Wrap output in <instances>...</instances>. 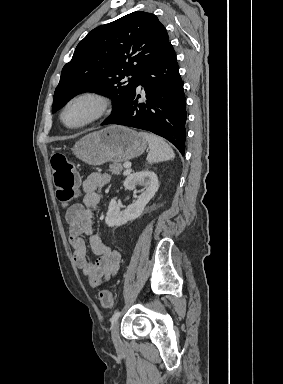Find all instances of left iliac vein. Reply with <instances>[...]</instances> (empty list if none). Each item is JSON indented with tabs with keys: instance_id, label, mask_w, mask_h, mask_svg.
Wrapping results in <instances>:
<instances>
[{
	"instance_id": "1",
	"label": "left iliac vein",
	"mask_w": 283,
	"mask_h": 384,
	"mask_svg": "<svg viewBox=\"0 0 283 384\" xmlns=\"http://www.w3.org/2000/svg\"><path fill=\"white\" fill-rule=\"evenodd\" d=\"M111 338H112V341H113L115 348L117 350H122L123 349V343L121 341L120 334H119V322L118 321H116L112 326Z\"/></svg>"
}]
</instances>
